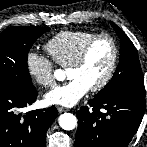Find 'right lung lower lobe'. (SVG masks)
<instances>
[{"label":"right lung lower lobe","mask_w":147,"mask_h":147,"mask_svg":"<svg viewBox=\"0 0 147 147\" xmlns=\"http://www.w3.org/2000/svg\"><path fill=\"white\" fill-rule=\"evenodd\" d=\"M36 98L34 86L28 90L0 87V147H45L46 132L58 116L57 109L19 112Z\"/></svg>","instance_id":"obj_1"}]
</instances>
